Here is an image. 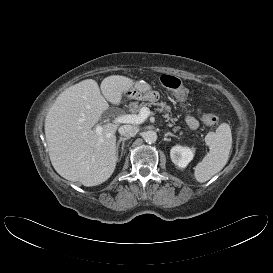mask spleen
Segmentation results:
<instances>
[{
    "instance_id": "3e777b00",
    "label": "spleen",
    "mask_w": 273,
    "mask_h": 273,
    "mask_svg": "<svg viewBox=\"0 0 273 273\" xmlns=\"http://www.w3.org/2000/svg\"><path fill=\"white\" fill-rule=\"evenodd\" d=\"M205 142L210 150L196 165L194 172L195 179L200 183L211 179L226 165L232 147L230 126L227 123L220 124L215 132L206 135Z\"/></svg>"
}]
</instances>
